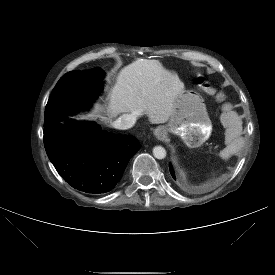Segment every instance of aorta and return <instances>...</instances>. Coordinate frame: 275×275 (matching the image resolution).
<instances>
[{"label":"aorta","instance_id":"aorta-1","mask_svg":"<svg viewBox=\"0 0 275 275\" xmlns=\"http://www.w3.org/2000/svg\"><path fill=\"white\" fill-rule=\"evenodd\" d=\"M153 155L157 159H164L166 157V150L162 146H155L153 148Z\"/></svg>","mask_w":275,"mask_h":275}]
</instances>
